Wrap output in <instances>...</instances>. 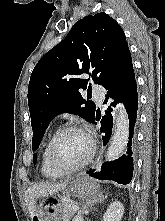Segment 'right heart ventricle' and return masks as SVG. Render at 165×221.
Instances as JSON below:
<instances>
[{"label":"right heart ventricle","mask_w":165,"mask_h":221,"mask_svg":"<svg viewBox=\"0 0 165 221\" xmlns=\"http://www.w3.org/2000/svg\"><path fill=\"white\" fill-rule=\"evenodd\" d=\"M52 137L53 135L49 137L48 140L46 141L41 154L40 171L42 175L47 178H56L61 176L60 173L53 170L48 160V146Z\"/></svg>","instance_id":"e07e8e85"}]
</instances>
